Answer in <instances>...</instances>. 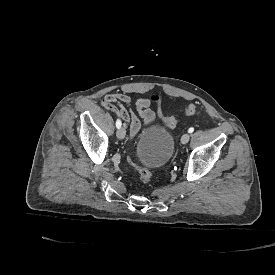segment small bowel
<instances>
[{
  "instance_id": "1",
  "label": "small bowel",
  "mask_w": 275,
  "mask_h": 275,
  "mask_svg": "<svg viewBox=\"0 0 275 275\" xmlns=\"http://www.w3.org/2000/svg\"><path fill=\"white\" fill-rule=\"evenodd\" d=\"M101 106L129 124V135L136 139L141 131L142 122L145 127H151L154 122V113L151 102L146 97H138L134 103L135 111H128L131 97L127 92L108 94L100 100Z\"/></svg>"
}]
</instances>
